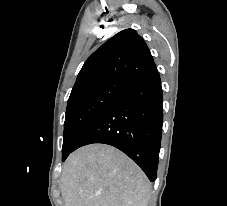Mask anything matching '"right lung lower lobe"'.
I'll return each mask as SVG.
<instances>
[{
	"label": "right lung lower lobe",
	"instance_id": "obj_1",
	"mask_svg": "<svg viewBox=\"0 0 227 206\" xmlns=\"http://www.w3.org/2000/svg\"><path fill=\"white\" fill-rule=\"evenodd\" d=\"M162 124L163 95L155 66L127 82L124 92L91 123L73 151L91 143L112 145L136 162L153 182L157 176Z\"/></svg>",
	"mask_w": 227,
	"mask_h": 206
}]
</instances>
